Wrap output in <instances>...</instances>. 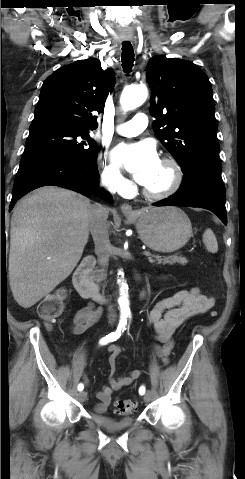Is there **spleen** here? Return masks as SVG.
I'll list each match as a JSON object with an SVG mask.
<instances>
[{
	"mask_svg": "<svg viewBox=\"0 0 245 479\" xmlns=\"http://www.w3.org/2000/svg\"><path fill=\"white\" fill-rule=\"evenodd\" d=\"M203 242L209 252L216 253L218 251L217 239L210 228L205 230L203 234Z\"/></svg>",
	"mask_w": 245,
	"mask_h": 479,
	"instance_id": "spleen-1",
	"label": "spleen"
}]
</instances>
